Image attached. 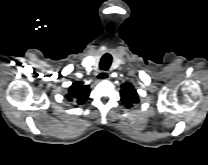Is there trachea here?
<instances>
[{"instance_id": "obj_1", "label": "trachea", "mask_w": 208, "mask_h": 165, "mask_svg": "<svg viewBox=\"0 0 208 165\" xmlns=\"http://www.w3.org/2000/svg\"><path fill=\"white\" fill-rule=\"evenodd\" d=\"M112 62V58L110 54H105L100 61V69L101 70H108Z\"/></svg>"}]
</instances>
